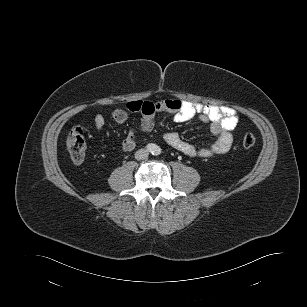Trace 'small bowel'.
Wrapping results in <instances>:
<instances>
[{
  "instance_id": "obj_1",
  "label": "small bowel",
  "mask_w": 307,
  "mask_h": 307,
  "mask_svg": "<svg viewBox=\"0 0 307 307\" xmlns=\"http://www.w3.org/2000/svg\"><path fill=\"white\" fill-rule=\"evenodd\" d=\"M130 112L141 114L142 119L138 128H131L128 131L122 143V149L125 152L135 149L138 132H149L153 128L155 116L161 113L172 115L176 122H185L197 117L202 123L209 126L215 140L204 148L196 147L184 141L176 132L164 134V141L168 145L187 156L196 158H209L226 153L232 143V131L238 124L237 114L230 107L202 105L177 99H166L158 102L131 101L125 107L115 108L112 111V118L115 122L122 124L127 120ZM94 125L97 130L103 129L105 118L102 114H97L94 117Z\"/></svg>"
}]
</instances>
